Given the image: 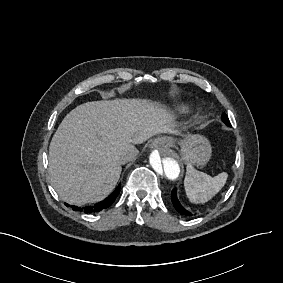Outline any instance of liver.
Here are the masks:
<instances>
[{"instance_id":"obj_1","label":"liver","mask_w":283,"mask_h":283,"mask_svg":"<svg viewBox=\"0 0 283 283\" xmlns=\"http://www.w3.org/2000/svg\"><path fill=\"white\" fill-rule=\"evenodd\" d=\"M174 118L146 100L89 102L61 122L49 149V173L58 195L70 204L104 199L119 181L116 158L128 146L158 133H176Z\"/></svg>"}]
</instances>
